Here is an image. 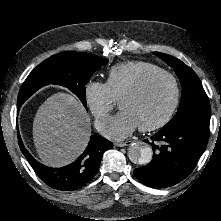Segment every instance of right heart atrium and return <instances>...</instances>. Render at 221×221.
<instances>
[{"label":"right heart atrium","mask_w":221,"mask_h":221,"mask_svg":"<svg viewBox=\"0 0 221 221\" xmlns=\"http://www.w3.org/2000/svg\"><path fill=\"white\" fill-rule=\"evenodd\" d=\"M84 99L94 117L104 118L114 107L116 98L104 82L89 79L83 88Z\"/></svg>","instance_id":"d8ad5b80"}]
</instances>
